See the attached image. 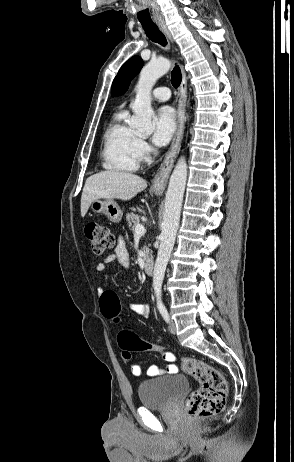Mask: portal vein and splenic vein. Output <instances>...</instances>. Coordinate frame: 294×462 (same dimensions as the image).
<instances>
[{
	"mask_svg": "<svg viewBox=\"0 0 294 462\" xmlns=\"http://www.w3.org/2000/svg\"><path fill=\"white\" fill-rule=\"evenodd\" d=\"M145 232H146L145 227L142 224H138L135 227L134 235L135 236H142V235L145 234Z\"/></svg>",
	"mask_w": 294,
	"mask_h": 462,
	"instance_id": "obj_1",
	"label": "portal vein and splenic vein"
}]
</instances>
